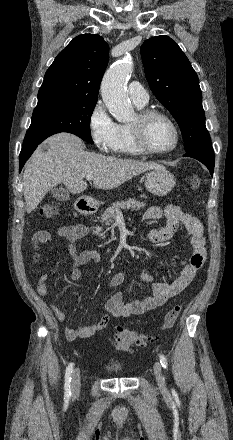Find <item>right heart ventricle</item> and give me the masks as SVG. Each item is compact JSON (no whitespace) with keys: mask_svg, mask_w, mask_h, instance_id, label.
<instances>
[{"mask_svg":"<svg viewBox=\"0 0 233 440\" xmlns=\"http://www.w3.org/2000/svg\"><path fill=\"white\" fill-rule=\"evenodd\" d=\"M138 107L142 108L143 106ZM115 153L127 156H139L142 154L134 143L129 125H120V138Z\"/></svg>","mask_w":233,"mask_h":440,"instance_id":"1","label":"right heart ventricle"}]
</instances>
